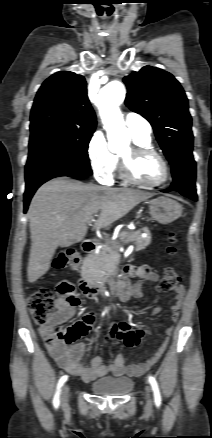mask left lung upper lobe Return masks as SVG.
<instances>
[{"instance_id":"1","label":"left lung upper lobe","mask_w":212,"mask_h":438,"mask_svg":"<svg viewBox=\"0 0 212 438\" xmlns=\"http://www.w3.org/2000/svg\"><path fill=\"white\" fill-rule=\"evenodd\" d=\"M126 105L152 125L170 164L192 152L193 134L188 101L180 83L170 73L151 66L124 77Z\"/></svg>"}]
</instances>
